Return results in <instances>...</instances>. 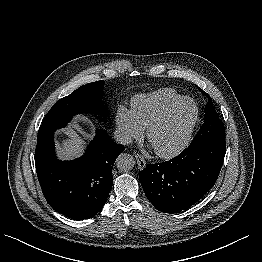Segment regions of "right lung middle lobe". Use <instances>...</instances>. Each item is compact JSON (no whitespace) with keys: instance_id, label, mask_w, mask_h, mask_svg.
<instances>
[{"instance_id":"1","label":"right lung middle lobe","mask_w":262,"mask_h":262,"mask_svg":"<svg viewBox=\"0 0 262 262\" xmlns=\"http://www.w3.org/2000/svg\"><path fill=\"white\" fill-rule=\"evenodd\" d=\"M103 86V80L92 82L61 98L49 110L42 125L68 123L74 115L85 112L99 113V119L103 120L108 114L101 101Z\"/></svg>"}]
</instances>
